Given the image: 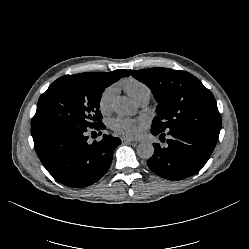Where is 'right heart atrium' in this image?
Here are the masks:
<instances>
[{
  "label": "right heart atrium",
  "mask_w": 249,
  "mask_h": 249,
  "mask_svg": "<svg viewBox=\"0 0 249 249\" xmlns=\"http://www.w3.org/2000/svg\"><path fill=\"white\" fill-rule=\"evenodd\" d=\"M115 93L116 88L114 85L106 86L102 90L98 100V107L102 113H107L112 109V101Z\"/></svg>",
  "instance_id": "right-heart-atrium-1"
}]
</instances>
